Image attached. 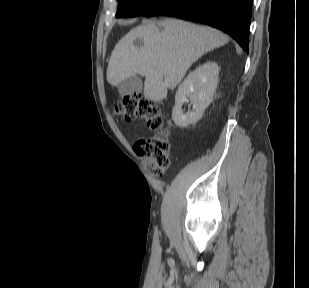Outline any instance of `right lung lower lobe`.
I'll return each instance as SVG.
<instances>
[{"label": "right lung lower lobe", "instance_id": "right-lung-lower-lobe-1", "mask_svg": "<svg viewBox=\"0 0 309 288\" xmlns=\"http://www.w3.org/2000/svg\"><path fill=\"white\" fill-rule=\"evenodd\" d=\"M252 0H163L143 16H172L201 22L229 34L249 52Z\"/></svg>", "mask_w": 309, "mask_h": 288}]
</instances>
